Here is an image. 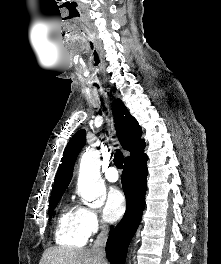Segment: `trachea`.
I'll return each mask as SVG.
<instances>
[{"mask_svg": "<svg viewBox=\"0 0 221 264\" xmlns=\"http://www.w3.org/2000/svg\"><path fill=\"white\" fill-rule=\"evenodd\" d=\"M113 161H114L115 166L118 169H122L124 157H123V154L119 150L115 153Z\"/></svg>", "mask_w": 221, "mask_h": 264, "instance_id": "trachea-1", "label": "trachea"}]
</instances>
